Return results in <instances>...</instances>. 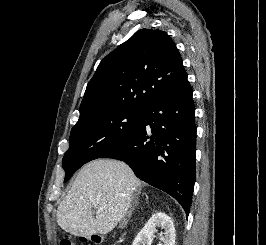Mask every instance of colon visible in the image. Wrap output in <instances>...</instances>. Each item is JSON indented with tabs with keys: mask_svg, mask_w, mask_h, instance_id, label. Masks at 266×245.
Instances as JSON below:
<instances>
[{
	"mask_svg": "<svg viewBox=\"0 0 266 245\" xmlns=\"http://www.w3.org/2000/svg\"><path fill=\"white\" fill-rule=\"evenodd\" d=\"M80 241H81V242H85L86 239L81 238ZM99 241H100L99 238H93V239H92V242H93L94 244H97ZM59 244H60V245H75V243H74L70 238H63V239H61V241H60Z\"/></svg>",
	"mask_w": 266,
	"mask_h": 245,
	"instance_id": "colon-1",
	"label": "colon"
}]
</instances>
